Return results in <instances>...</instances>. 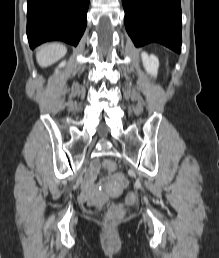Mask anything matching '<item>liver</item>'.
Segmentation results:
<instances>
[{"label": "liver", "instance_id": "liver-1", "mask_svg": "<svg viewBox=\"0 0 219 258\" xmlns=\"http://www.w3.org/2000/svg\"><path fill=\"white\" fill-rule=\"evenodd\" d=\"M67 52L64 45L59 43L42 46L36 54V59L41 67H48L61 59Z\"/></svg>", "mask_w": 219, "mask_h": 258}]
</instances>
